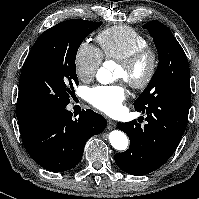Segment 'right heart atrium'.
Instances as JSON below:
<instances>
[{"label": "right heart atrium", "instance_id": "right-heart-atrium-1", "mask_svg": "<svg viewBox=\"0 0 199 199\" xmlns=\"http://www.w3.org/2000/svg\"><path fill=\"white\" fill-rule=\"evenodd\" d=\"M102 62L101 51L87 41L78 46L74 57V68L77 77L82 81H90L96 75Z\"/></svg>", "mask_w": 199, "mask_h": 199}]
</instances>
